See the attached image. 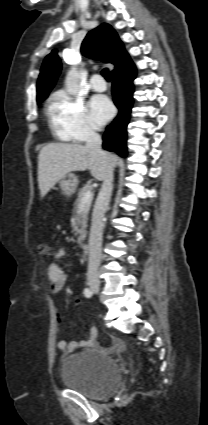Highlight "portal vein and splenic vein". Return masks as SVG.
I'll use <instances>...</instances> for the list:
<instances>
[{"label":"portal vein and splenic vein","mask_w":208,"mask_h":425,"mask_svg":"<svg viewBox=\"0 0 208 425\" xmlns=\"http://www.w3.org/2000/svg\"><path fill=\"white\" fill-rule=\"evenodd\" d=\"M92 199H93V194H92V192H91V191L86 192V193L84 194V196H83L81 206H82V207H85V206H86V204H87L88 202H90Z\"/></svg>","instance_id":"portal-vein-and-splenic-vein-1"}]
</instances>
